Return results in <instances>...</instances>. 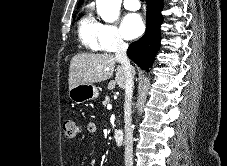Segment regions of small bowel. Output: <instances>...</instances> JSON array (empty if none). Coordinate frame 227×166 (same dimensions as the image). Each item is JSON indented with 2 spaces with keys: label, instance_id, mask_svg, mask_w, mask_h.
Instances as JSON below:
<instances>
[{
  "label": "small bowel",
  "instance_id": "small-bowel-1",
  "mask_svg": "<svg viewBox=\"0 0 227 166\" xmlns=\"http://www.w3.org/2000/svg\"><path fill=\"white\" fill-rule=\"evenodd\" d=\"M86 130L90 134H94L97 131V127L94 123H89L86 127Z\"/></svg>",
  "mask_w": 227,
  "mask_h": 166
}]
</instances>
